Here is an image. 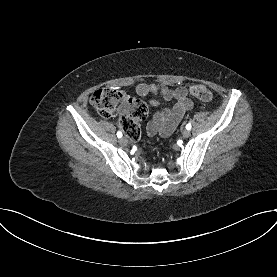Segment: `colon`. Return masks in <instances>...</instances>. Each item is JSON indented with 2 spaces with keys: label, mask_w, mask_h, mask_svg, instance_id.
<instances>
[{
  "label": "colon",
  "mask_w": 277,
  "mask_h": 277,
  "mask_svg": "<svg viewBox=\"0 0 277 277\" xmlns=\"http://www.w3.org/2000/svg\"><path fill=\"white\" fill-rule=\"evenodd\" d=\"M189 92L202 101H208L212 97L210 90L201 84L190 86ZM90 103L103 117H110L119 111L121 113L120 125L131 138L139 134L138 122L148 113L145 103L115 88L96 90L90 97Z\"/></svg>",
  "instance_id": "colon-1"
}]
</instances>
